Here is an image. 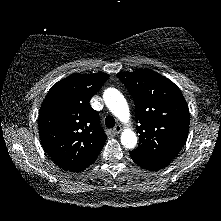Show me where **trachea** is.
I'll list each match as a JSON object with an SVG mask.
<instances>
[{
	"mask_svg": "<svg viewBox=\"0 0 221 221\" xmlns=\"http://www.w3.org/2000/svg\"><path fill=\"white\" fill-rule=\"evenodd\" d=\"M115 119L112 116H107L105 119V125L108 128H113L115 126Z\"/></svg>",
	"mask_w": 221,
	"mask_h": 221,
	"instance_id": "1",
	"label": "trachea"
}]
</instances>
